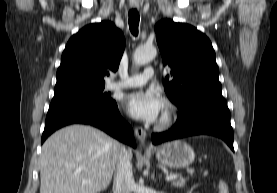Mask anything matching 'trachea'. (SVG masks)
<instances>
[{
    "label": "trachea",
    "instance_id": "trachea-1",
    "mask_svg": "<svg viewBox=\"0 0 277 193\" xmlns=\"http://www.w3.org/2000/svg\"><path fill=\"white\" fill-rule=\"evenodd\" d=\"M139 13L136 9H132L129 11V28L131 33L134 36L138 35V26H139Z\"/></svg>",
    "mask_w": 277,
    "mask_h": 193
}]
</instances>
